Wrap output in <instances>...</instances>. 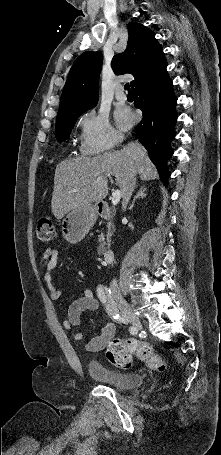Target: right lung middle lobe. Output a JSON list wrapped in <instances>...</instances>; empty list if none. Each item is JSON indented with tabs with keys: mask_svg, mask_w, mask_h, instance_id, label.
<instances>
[{
	"mask_svg": "<svg viewBox=\"0 0 221 455\" xmlns=\"http://www.w3.org/2000/svg\"><path fill=\"white\" fill-rule=\"evenodd\" d=\"M82 113L83 112L71 113L57 117L55 137L59 143L65 141L69 137V134L74 127L77 118Z\"/></svg>",
	"mask_w": 221,
	"mask_h": 455,
	"instance_id": "1",
	"label": "right lung middle lobe"
}]
</instances>
